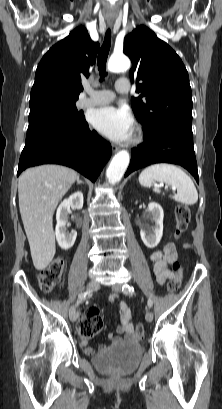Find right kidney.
Instances as JSON below:
<instances>
[{
  "mask_svg": "<svg viewBox=\"0 0 222 409\" xmlns=\"http://www.w3.org/2000/svg\"><path fill=\"white\" fill-rule=\"evenodd\" d=\"M70 207L76 208L78 210L83 207V194L82 192H75L69 198L63 200L59 205L56 213V230L55 235L59 246L64 249H70L76 240L77 232L72 230L69 232L67 230L68 215L70 213Z\"/></svg>",
  "mask_w": 222,
  "mask_h": 409,
  "instance_id": "ca27d5eb",
  "label": "right kidney"
}]
</instances>
